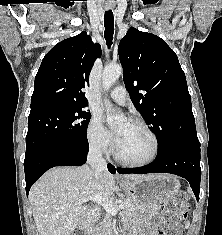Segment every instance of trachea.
Instances as JSON below:
<instances>
[{"instance_id": "1", "label": "trachea", "mask_w": 222, "mask_h": 235, "mask_svg": "<svg viewBox=\"0 0 222 235\" xmlns=\"http://www.w3.org/2000/svg\"><path fill=\"white\" fill-rule=\"evenodd\" d=\"M104 37L108 48L111 47L114 35V15L112 10L105 11L104 15Z\"/></svg>"}]
</instances>
